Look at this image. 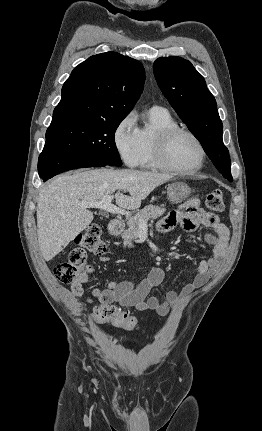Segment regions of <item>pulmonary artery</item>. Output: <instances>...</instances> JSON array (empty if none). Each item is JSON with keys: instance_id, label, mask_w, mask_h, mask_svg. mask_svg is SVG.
<instances>
[{"instance_id": "obj_1", "label": "pulmonary artery", "mask_w": 262, "mask_h": 431, "mask_svg": "<svg viewBox=\"0 0 262 431\" xmlns=\"http://www.w3.org/2000/svg\"><path fill=\"white\" fill-rule=\"evenodd\" d=\"M153 107H155V108H161V109H164V108H162V107H159V106H153Z\"/></svg>"}]
</instances>
